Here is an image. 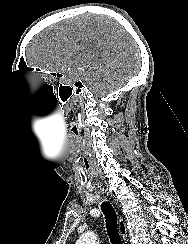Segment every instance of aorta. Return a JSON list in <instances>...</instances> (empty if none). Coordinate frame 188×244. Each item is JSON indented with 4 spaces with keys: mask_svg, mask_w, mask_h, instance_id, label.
I'll list each match as a JSON object with an SVG mask.
<instances>
[{
    "mask_svg": "<svg viewBox=\"0 0 188 244\" xmlns=\"http://www.w3.org/2000/svg\"><path fill=\"white\" fill-rule=\"evenodd\" d=\"M76 244H97V236L93 232L82 234Z\"/></svg>",
    "mask_w": 188,
    "mask_h": 244,
    "instance_id": "762f6f07",
    "label": "aorta"
}]
</instances>
